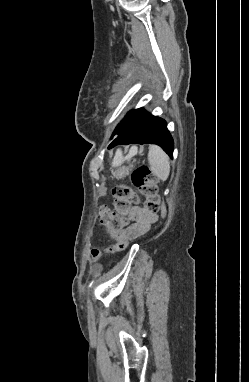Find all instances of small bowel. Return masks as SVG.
<instances>
[{"label": "small bowel", "mask_w": 249, "mask_h": 382, "mask_svg": "<svg viewBox=\"0 0 249 382\" xmlns=\"http://www.w3.org/2000/svg\"><path fill=\"white\" fill-rule=\"evenodd\" d=\"M128 217L133 222V224L126 230H112L108 223L103 221L101 218V223L104 226L106 232L111 237H121L123 235H128L129 237L135 239L143 235L149 229L150 223L154 222L156 218L149 214L145 209L141 207H133L128 211Z\"/></svg>", "instance_id": "1"}]
</instances>
